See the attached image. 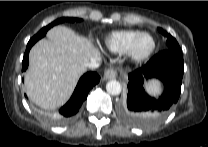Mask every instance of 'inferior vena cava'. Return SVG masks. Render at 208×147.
Listing matches in <instances>:
<instances>
[{
  "label": "inferior vena cava",
  "mask_w": 208,
  "mask_h": 147,
  "mask_svg": "<svg viewBox=\"0 0 208 147\" xmlns=\"http://www.w3.org/2000/svg\"><path fill=\"white\" fill-rule=\"evenodd\" d=\"M99 61H100L99 59H92L90 62L85 64V67L89 69L98 68L100 65Z\"/></svg>",
  "instance_id": "inferior-vena-cava-1"
}]
</instances>
